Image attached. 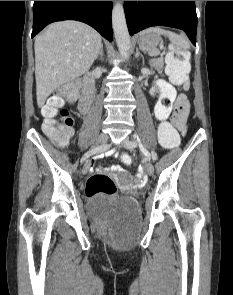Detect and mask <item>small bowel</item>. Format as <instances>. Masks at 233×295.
<instances>
[{"label":"small bowel","instance_id":"1","mask_svg":"<svg viewBox=\"0 0 233 295\" xmlns=\"http://www.w3.org/2000/svg\"><path fill=\"white\" fill-rule=\"evenodd\" d=\"M155 86L160 93V98L154 107V115L160 122H165L169 117L171 123L181 132L185 131L186 119L189 113V101L186 95L177 94L174 86L164 79L156 81ZM109 172H124L117 165L105 169Z\"/></svg>","mask_w":233,"mask_h":295}]
</instances>
